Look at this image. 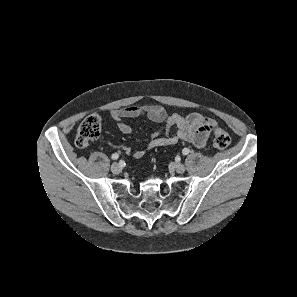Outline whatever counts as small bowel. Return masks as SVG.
Segmentation results:
<instances>
[{
  "mask_svg": "<svg viewBox=\"0 0 297 297\" xmlns=\"http://www.w3.org/2000/svg\"><path fill=\"white\" fill-rule=\"evenodd\" d=\"M141 116L152 120L157 124V128L151 133L145 149H127V152L137 159L142 158L147 150L175 145L179 141L191 143L197 148H203L216 126L213 119L200 113L194 112L186 116L178 113L168 114L163 107L156 104L132 105L110 112L111 119L123 134H130L133 131L130 125L123 122V119ZM172 130L174 131L172 132ZM161 133H164L165 136L160 137Z\"/></svg>",
  "mask_w": 297,
  "mask_h": 297,
  "instance_id": "1",
  "label": "small bowel"
}]
</instances>
